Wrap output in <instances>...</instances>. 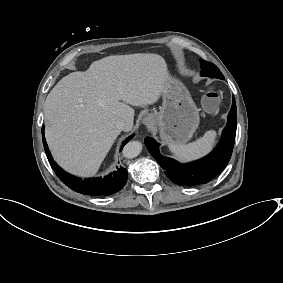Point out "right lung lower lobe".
<instances>
[{
  "mask_svg": "<svg viewBox=\"0 0 283 283\" xmlns=\"http://www.w3.org/2000/svg\"><path fill=\"white\" fill-rule=\"evenodd\" d=\"M131 138L132 137H129L127 140L123 142L121 149ZM42 139H43L44 149L52 169L59 177V179L72 190L84 195L106 196L120 191L126 184L128 172L125 168L122 167L120 168L117 167V171L109 174L104 178L100 177V178H89L82 180L81 178L66 173L52 159V156L50 154L49 148L47 146L44 137V127L42 128Z\"/></svg>",
  "mask_w": 283,
  "mask_h": 283,
  "instance_id": "1",
  "label": "right lung lower lobe"
}]
</instances>
